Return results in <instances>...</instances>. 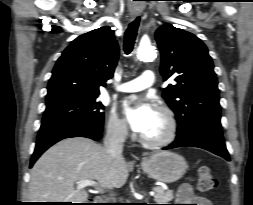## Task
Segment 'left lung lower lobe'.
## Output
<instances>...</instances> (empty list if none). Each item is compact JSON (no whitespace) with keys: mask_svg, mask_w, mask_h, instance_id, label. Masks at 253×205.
<instances>
[{"mask_svg":"<svg viewBox=\"0 0 253 205\" xmlns=\"http://www.w3.org/2000/svg\"><path fill=\"white\" fill-rule=\"evenodd\" d=\"M183 146H193L208 150L230 161L229 153L226 149L221 124L202 123L198 125L185 138L176 137L175 141L163 148L172 149Z\"/></svg>","mask_w":253,"mask_h":205,"instance_id":"left-lung-lower-lobe-1","label":"left lung lower lobe"}]
</instances>
